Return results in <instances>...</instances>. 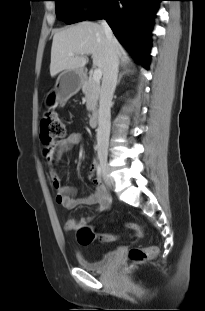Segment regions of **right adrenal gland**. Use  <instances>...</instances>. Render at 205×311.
Wrapping results in <instances>:
<instances>
[{"label":"right adrenal gland","mask_w":205,"mask_h":311,"mask_svg":"<svg viewBox=\"0 0 205 311\" xmlns=\"http://www.w3.org/2000/svg\"><path fill=\"white\" fill-rule=\"evenodd\" d=\"M121 65L123 66L124 71L119 73L117 85L120 83V80L125 73L131 72V70L127 69L128 62L122 61Z\"/></svg>","instance_id":"obj_1"}]
</instances>
